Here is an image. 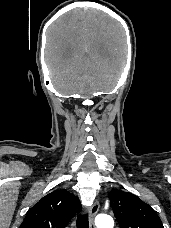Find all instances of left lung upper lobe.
Returning a JSON list of instances; mask_svg holds the SVG:
<instances>
[{
    "label": "left lung upper lobe",
    "instance_id": "1",
    "mask_svg": "<svg viewBox=\"0 0 171 228\" xmlns=\"http://www.w3.org/2000/svg\"><path fill=\"white\" fill-rule=\"evenodd\" d=\"M108 198L121 228H164L155 211L138 196L112 189Z\"/></svg>",
    "mask_w": 171,
    "mask_h": 228
}]
</instances>
